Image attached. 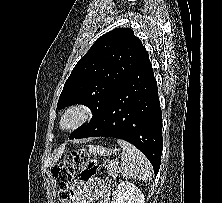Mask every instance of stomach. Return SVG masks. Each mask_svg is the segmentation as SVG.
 <instances>
[{
  "label": "stomach",
  "mask_w": 222,
  "mask_h": 203,
  "mask_svg": "<svg viewBox=\"0 0 222 203\" xmlns=\"http://www.w3.org/2000/svg\"><path fill=\"white\" fill-rule=\"evenodd\" d=\"M114 151L112 149L104 148L102 146H90L88 148L89 155H101V156H109Z\"/></svg>",
  "instance_id": "stomach-1"
}]
</instances>
